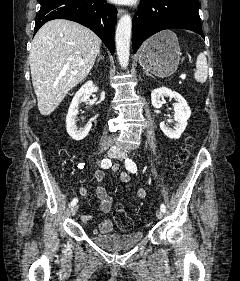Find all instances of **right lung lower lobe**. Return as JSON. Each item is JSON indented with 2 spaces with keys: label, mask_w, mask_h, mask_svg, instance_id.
<instances>
[{
  "label": "right lung lower lobe",
  "mask_w": 240,
  "mask_h": 281,
  "mask_svg": "<svg viewBox=\"0 0 240 281\" xmlns=\"http://www.w3.org/2000/svg\"><path fill=\"white\" fill-rule=\"evenodd\" d=\"M39 17L34 34L46 22L53 19H68L94 31L114 54V27L117 9L106 0H40Z\"/></svg>",
  "instance_id": "1"
}]
</instances>
